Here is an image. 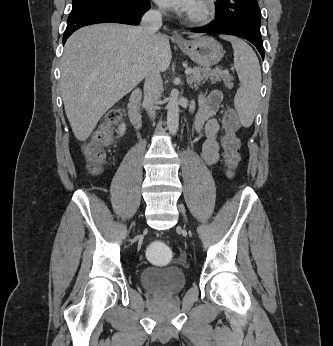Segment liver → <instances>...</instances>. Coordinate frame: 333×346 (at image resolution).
<instances>
[{"mask_svg":"<svg viewBox=\"0 0 333 346\" xmlns=\"http://www.w3.org/2000/svg\"><path fill=\"white\" fill-rule=\"evenodd\" d=\"M171 59L167 36L156 35L151 46L138 27L106 23L72 34L64 46L60 86L75 137L88 139L101 117L142 81L151 60L164 72Z\"/></svg>","mask_w":333,"mask_h":346,"instance_id":"6515ba94","label":"liver"}]
</instances>
